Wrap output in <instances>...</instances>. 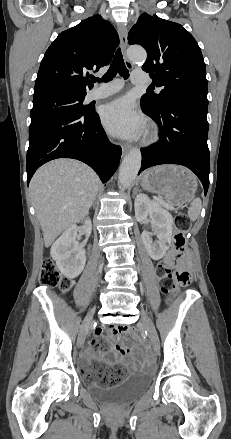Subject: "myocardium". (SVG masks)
I'll return each mask as SVG.
<instances>
[{
	"label": "myocardium",
	"instance_id": "obj_1",
	"mask_svg": "<svg viewBox=\"0 0 231 439\" xmlns=\"http://www.w3.org/2000/svg\"><path fill=\"white\" fill-rule=\"evenodd\" d=\"M158 132L155 127H149L146 132L145 143H152L157 140Z\"/></svg>",
	"mask_w": 231,
	"mask_h": 439
}]
</instances>
